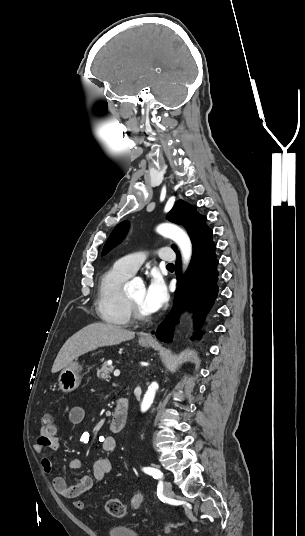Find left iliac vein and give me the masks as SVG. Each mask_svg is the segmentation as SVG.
<instances>
[{"label": "left iliac vein", "mask_w": 305, "mask_h": 536, "mask_svg": "<svg viewBox=\"0 0 305 536\" xmlns=\"http://www.w3.org/2000/svg\"><path fill=\"white\" fill-rule=\"evenodd\" d=\"M172 484L169 481H165L164 483V495L166 497H171L172 494Z\"/></svg>", "instance_id": "4c4485c4"}]
</instances>
